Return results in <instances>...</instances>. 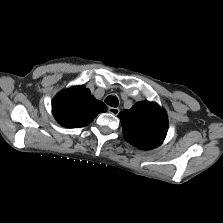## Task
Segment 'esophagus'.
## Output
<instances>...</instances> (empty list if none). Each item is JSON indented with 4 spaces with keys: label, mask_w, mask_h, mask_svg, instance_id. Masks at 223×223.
Masks as SVG:
<instances>
[{
    "label": "esophagus",
    "mask_w": 223,
    "mask_h": 223,
    "mask_svg": "<svg viewBox=\"0 0 223 223\" xmlns=\"http://www.w3.org/2000/svg\"><path fill=\"white\" fill-rule=\"evenodd\" d=\"M108 112L117 116L119 114L120 110H119V108H116V107H109Z\"/></svg>",
    "instance_id": "34e87169"
}]
</instances>
